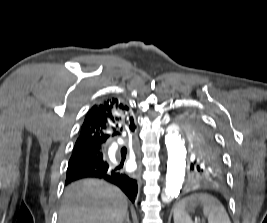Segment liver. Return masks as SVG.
<instances>
[{"instance_id": "obj_1", "label": "liver", "mask_w": 267, "mask_h": 223, "mask_svg": "<svg viewBox=\"0 0 267 223\" xmlns=\"http://www.w3.org/2000/svg\"><path fill=\"white\" fill-rule=\"evenodd\" d=\"M127 208V198L117 187L81 180L66 188L58 223H123Z\"/></svg>"}]
</instances>
